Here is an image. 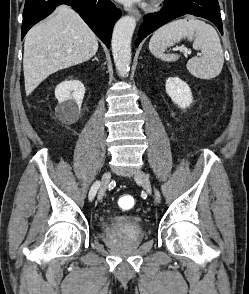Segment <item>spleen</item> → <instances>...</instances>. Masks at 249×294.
Instances as JSON below:
<instances>
[{"label": "spleen", "instance_id": "obj_1", "mask_svg": "<svg viewBox=\"0 0 249 294\" xmlns=\"http://www.w3.org/2000/svg\"><path fill=\"white\" fill-rule=\"evenodd\" d=\"M186 38L193 41V48L201 50L202 53L187 62L188 71L200 79L218 76L224 64L223 49L216 30L204 21L190 17L167 23L154 32L149 42V50L163 61H176L179 55L165 53V50Z\"/></svg>", "mask_w": 249, "mask_h": 294}]
</instances>
